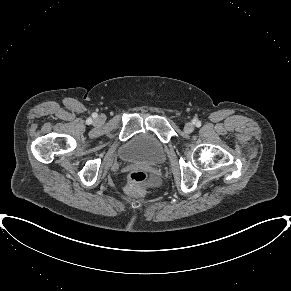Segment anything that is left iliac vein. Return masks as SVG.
<instances>
[{
    "mask_svg": "<svg viewBox=\"0 0 291 291\" xmlns=\"http://www.w3.org/2000/svg\"><path fill=\"white\" fill-rule=\"evenodd\" d=\"M193 130H194V125L192 123L185 124V126H184L185 133L190 134L193 132Z\"/></svg>",
    "mask_w": 291,
    "mask_h": 291,
    "instance_id": "1",
    "label": "left iliac vein"
}]
</instances>
